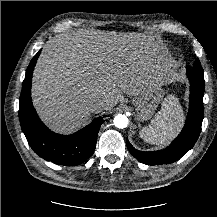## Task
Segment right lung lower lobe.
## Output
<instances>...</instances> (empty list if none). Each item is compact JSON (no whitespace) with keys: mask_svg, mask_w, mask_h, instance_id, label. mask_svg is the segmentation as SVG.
<instances>
[{"mask_svg":"<svg viewBox=\"0 0 217 217\" xmlns=\"http://www.w3.org/2000/svg\"><path fill=\"white\" fill-rule=\"evenodd\" d=\"M39 51L31 60L23 81L19 99V119L26 139L41 158L59 165L75 166L86 161L94 152L102 117L95 119L77 133L64 136L49 130L39 119L31 99L32 74Z\"/></svg>","mask_w":217,"mask_h":217,"instance_id":"1","label":"right lung lower lobe"}]
</instances>
